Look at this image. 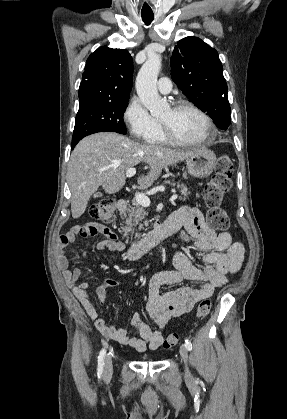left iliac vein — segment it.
Returning <instances> with one entry per match:
<instances>
[{"instance_id": "left-iliac-vein-1", "label": "left iliac vein", "mask_w": 287, "mask_h": 419, "mask_svg": "<svg viewBox=\"0 0 287 419\" xmlns=\"http://www.w3.org/2000/svg\"><path fill=\"white\" fill-rule=\"evenodd\" d=\"M180 355H181V357H182V359L185 363V376H186V378L191 379L192 375H191V373L189 371V368H188V349L186 348L185 345H181Z\"/></svg>"}]
</instances>
